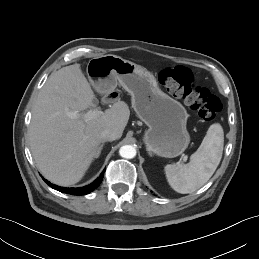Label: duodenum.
<instances>
[{"label": "duodenum", "mask_w": 259, "mask_h": 259, "mask_svg": "<svg viewBox=\"0 0 259 259\" xmlns=\"http://www.w3.org/2000/svg\"><path fill=\"white\" fill-rule=\"evenodd\" d=\"M109 98H111V99L116 98V94H115V93H111L110 96H109Z\"/></svg>", "instance_id": "obj_1"}]
</instances>
